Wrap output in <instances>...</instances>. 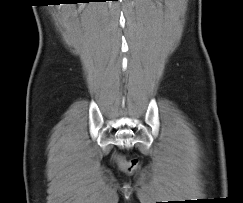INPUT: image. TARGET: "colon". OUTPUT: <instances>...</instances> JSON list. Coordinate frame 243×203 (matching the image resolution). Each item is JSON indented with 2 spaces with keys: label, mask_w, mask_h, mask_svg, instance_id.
I'll return each mask as SVG.
<instances>
[{
  "label": "colon",
  "mask_w": 243,
  "mask_h": 203,
  "mask_svg": "<svg viewBox=\"0 0 243 203\" xmlns=\"http://www.w3.org/2000/svg\"><path fill=\"white\" fill-rule=\"evenodd\" d=\"M117 162L119 163L120 167L129 173H132L137 170L138 167V161L136 159H132L129 161H126L122 159L121 157H117Z\"/></svg>",
  "instance_id": "colon-1"
}]
</instances>
